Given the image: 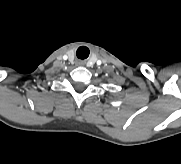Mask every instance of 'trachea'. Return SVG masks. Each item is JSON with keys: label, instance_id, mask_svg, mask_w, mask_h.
I'll return each mask as SVG.
<instances>
[{"label": "trachea", "instance_id": "obj_1", "mask_svg": "<svg viewBox=\"0 0 181 164\" xmlns=\"http://www.w3.org/2000/svg\"><path fill=\"white\" fill-rule=\"evenodd\" d=\"M76 55L79 59H85L89 55V49L85 46L79 47Z\"/></svg>", "mask_w": 181, "mask_h": 164}]
</instances>
